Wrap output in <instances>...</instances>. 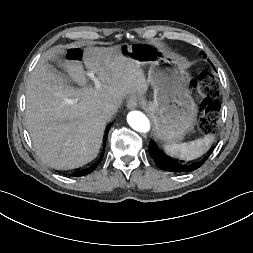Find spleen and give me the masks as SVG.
Wrapping results in <instances>:
<instances>
[{
	"mask_svg": "<svg viewBox=\"0 0 253 253\" xmlns=\"http://www.w3.org/2000/svg\"><path fill=\"white\" fill-rule=\"evenodd\" d=\"M214 137L210 134L204 138L181 144H166L164 150L166 154L180 158L182 160H193L203 155L210 147Z\"/></svg>",
	"mask_w": 253,
	"mask_h": 253,
	"instance_id": "spleen-1",
	"label": "spleen"
}]
</instances>
